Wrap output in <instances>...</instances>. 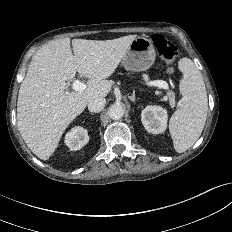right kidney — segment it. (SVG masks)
Masks as SVG:
<instances>
[{
  "label": "right kidney",
  "mask_w": 232,
  "mask_h": 232,
  "mask_svg": "<svg viewBox=\"0 0 232 232\" xmlns=\"http://www.w3.org/2000/svg\"><path fill=\"white\" fill-rule=\"evenodd\" d=\"M89 141L88 132L82 127H74L65 135V144L72 151L80 150Z\"/></svg>",
  "instance_id": "right-kidney-1"
}]
</instances>
